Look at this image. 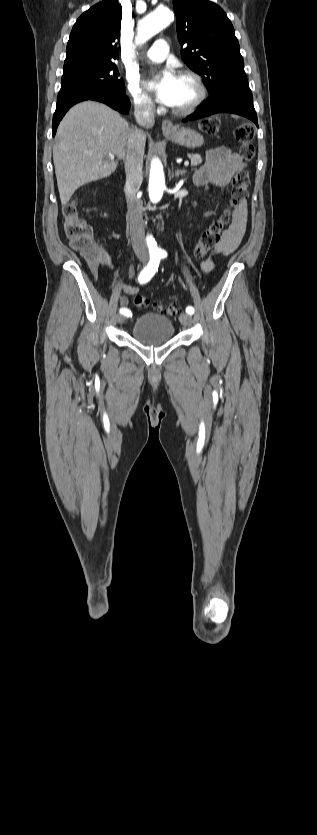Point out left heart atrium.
<instances>
[{"mask_svg":"<svg viewBox=\"0 0 317 835\" xmlns=\"http://www.w3.org/2000/svg\"><path fill=\"white\" fill-rule=\"evenodd\" d=\"M148 86L154 90L159 102L172 106L175 101L178 77L166 69L159 78L148 81Z\"/></svg>","mask_w":317,"mask_h":835,"instance_id":"39dd6f15","label":"left heart atrium"}]
</instances>
